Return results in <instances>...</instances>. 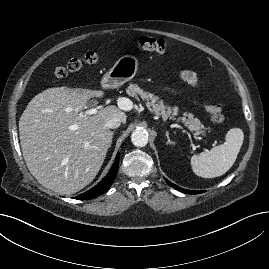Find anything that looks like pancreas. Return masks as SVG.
Returning a JSON list of instances; mask_svg holds the SVG:
<instances>
[{"label": "pancreas", "mask_w": 269, "mask_h": 269, "mask_svg": "<svg viewBox=\"0 0 269 269\" xmlns=\"http://www.w3.org/2000/svg\"><path fill=\"white\" fill-rule=\"evenodd\" d=\"M127 94L131 97L140 98L144 101H146L147 108L154 113L155 115L162 116L163 119H167L168 117H171L172 115H176L178 112L177 108H170L166 105H164L163 100L160 99L158 96L146 92L137 84H130L127 89ZM188 116V119L182 118L183 122L186 126L190 129V131L194 132L196 135L202 133L201 129L203 126L201 125L200 120L193 117L192 114H186Z\"/></svg>", "instance_id": "1"}]
</instances>
